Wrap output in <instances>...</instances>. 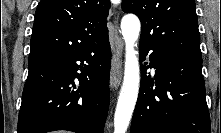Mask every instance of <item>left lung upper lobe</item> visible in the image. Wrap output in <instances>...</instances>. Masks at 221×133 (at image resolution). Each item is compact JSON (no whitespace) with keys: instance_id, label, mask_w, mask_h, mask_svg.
Segmentation results:
<instances>
[{"instance_id":"5c2ea615","label":"left lung upper lobe","mask_w":221,"mask_h":133,"mask_svg":"<svg viewBox=\"0 0 221 133\" xmlns=\"http://www.w3.org/2000/svg\"><path fill=\"white\" fill-rule=\"evenodd\" d=\"M141 20L140 41L201 56L194 0H122Z\"/></svg>"}]
</instances>
